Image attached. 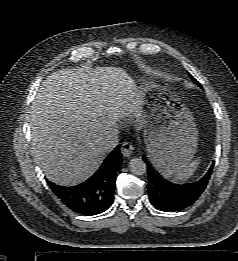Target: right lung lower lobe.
Returning <instances> with one entry per match:
<instances>
[{
	"label": "right lung lower lobe",
	"mask_w": 238,
	"mask_h": 261,
	"mask_svg": "<svg viewBox=\"0 0 238 261\" xmlns=\"http://www.w3.org/2000/svg\"><path fill=\"white\" fill-rule=\"evenodd\" d=\"M121 163L122 155L117 146L99 170L82 184L64 187L47 182L57 197L71 210L82 215L100 214L114 201L116 171Z\"/></svg>",
	"instance_id": "1"
}]
</instances>
